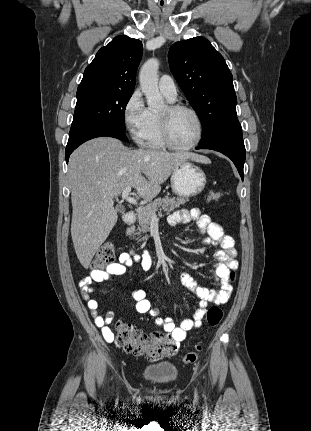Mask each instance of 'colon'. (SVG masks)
I'll return each mask as SVG.
<instances>
[{
  "instance_id": "colon-1",
  "label": "colon",
  "mask_w": 311,
  "mask_h": 431,
  "mask_svg": "<svg viewBox=\"0 0 311 431\" xmlns=\"http://www.w3.org/2000/svg\"><path fill=\"white\" fill-rule=\"evenodd\" d=\"M207 198L210 202H217L221 198V193L211 190ZM115 257L114 246L111 242L103 243L98 249L92 266L94 268H104L112 264ZM234 279V272L230 273V280ZM223 317V311L218 306L210 307L206 312L207 324L210 327L217 326ZM115 341L118 347L126 353L135 356H145L151 361H156L164 357L174 355L178 350V344L167 336L156 334L151 337L136 330L129 323L119 320L115 323ZM202 347L197 344L193 351L184 355L182 362L192 364L197 361Z\"/></svg>"
}]
</instances>
